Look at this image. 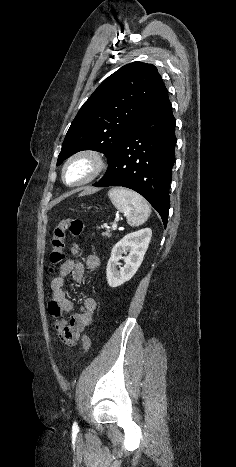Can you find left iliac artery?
<instances>
[{
    "instance_id": "left-iliac-artery-1",
    "label": "left iliac artery",
    "mask_w": 236,
    "mask_h": 467,
    "mask_svg": "<svg viewBox=\"0 0 236 467\" xmlns=\"http://www.w3.org/2000/svg\"><path fill=\"white\" fill-rule=\"evenodd\" d=\"M73 427H77V423H76V422L73 423Z\"/></svg>"
}]
</instances>
